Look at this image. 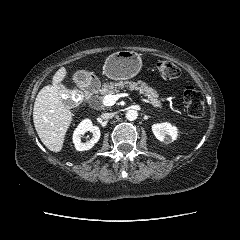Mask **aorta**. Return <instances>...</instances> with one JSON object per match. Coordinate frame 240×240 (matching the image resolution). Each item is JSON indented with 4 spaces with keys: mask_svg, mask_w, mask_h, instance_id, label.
<instances>
[{
    "mask_svg": "<svg viewBox=\"0 0 240 240\" xmlns=\"http://www.w3.org/2000/svg\"><path fill=\"white\" fill-rule=\"evenodd\" d=\"M137 117H138V112L136 110L131 109L126 112V118L129 121H134L137 119Z\"/></svg>",
    "mask_w": 240,
    "mask_h": 240,
    "instance_id": "aorta-1",
    "label": "aorta"
}]
</instances>
